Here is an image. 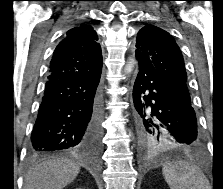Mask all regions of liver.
<instances>
[{"mask_svg": "<svg viewBox=\"0 0 223 189\" xmlns=\"http://www.w3.org/2000/svg\"><path fill=\"white\" fill-rule=\"evenodd\" d=\"M80 166L58 158L34 165L24 176L23 189H62L77 177Z\"/></svg>", "mask_w": 223, "mask_h": 189, "instance_id": "6515ba94", "label": "liver"}]
</instances>
